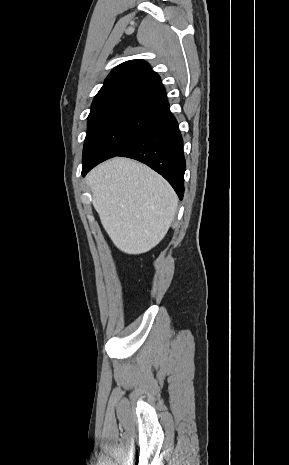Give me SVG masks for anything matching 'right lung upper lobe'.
<instances>
[{
    "label": "right lung upper lobe",
    "mask_w": 289,
    "mask_h": 465,
    "mask_svg": "<svg viewBox=\"0 0 289 465\" xmlns=\"http://www.w3.org/2000/svg\"><path fill=\"white\" fill-rule=\"evenodd\" d=\"M128 102L162 106L167 103L159 75L143 60L126 61L111 71L92 102L89 116L113 105Z\"/></svg>",
    "instance_id": "right-lung-upper-lobe-1"
}]
</instances>
